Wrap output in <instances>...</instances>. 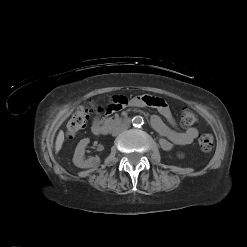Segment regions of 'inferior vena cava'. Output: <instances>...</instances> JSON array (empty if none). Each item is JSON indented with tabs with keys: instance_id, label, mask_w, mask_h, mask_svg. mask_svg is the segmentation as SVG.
<instances>
[{
	"instance_id": "602c4592",
	"label": "inferior vena cava",
	"mask_w": 247,
	"mask_h": 247,
	"mask_svg": "<svg viewBox=\"0 0 247 247\" xmlns=\"http://www.w3.org/2000/svg\"><path fill=\"white\" fill-rule=\"evenodd\" d=\"M127 125H120V126H117L115 127L113 130H112V135L113 136H117L118 134H120L121 132L125 131L127 129Z\"/></svg>"
}]
</instances>
